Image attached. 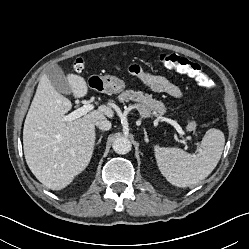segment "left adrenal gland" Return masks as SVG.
I'll use <instances>...</instances> for the list:
<instances>
[{"label":"left adrenal gland","mask_w":249,"mask_h":249,"mask_svg":"<svg viewBox=\"0 0 249 249\" xmlns=\"http://www.w3.org/2000/svg\"><path fill=\"white\" fill-rule=\"evenodd\" d=\"M143 131H144V135H145V142L148 143L149 139H148L147 131L145 128H143Z\"/></svg>","instance_id":"a2214340"}]
</instances>
